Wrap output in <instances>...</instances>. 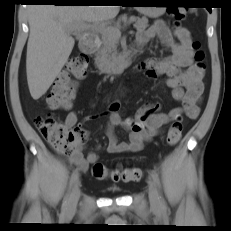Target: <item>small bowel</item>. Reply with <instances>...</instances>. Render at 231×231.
Segmentation results:
<instances>
[{"mask_svg":"<svg viewBox=\"0 0 231 231\" xmlns=\"http://www.w3.org/2000/svg\"><path fill=\"white\" fill-rule=\"evenodd\" d=\"M153 38H158L161 44L170 49L171 54L164 59H149L140 65L147 76L155 78L165 76L166 85L171 88L172 98L181 106L168 113L159 112L160 104H144L135 117L123 118L121 103L118 100L108 106L110 126L107 129V151L113 154L138 152L143 145L156 136L162 127L172 120L186 115L189 119H196L199 115V103L204 91V72L194 64L192 39L185 27L169 28L163 20H156L145 31L138 33L137 44L143 46ZM78 121L75 112H69L64 120L68 127H74ZM121 127L128 132V139L119 142L114 128ZM55 151L64 155L67 161L81 172H87L89 165L99 159L98 153L91 151L84 157L82 143L69 149L54 147Z\"/></svg>","mask_w":231,"mask_h":231,"instance_id":"obj_1","label":"small bowel"}]
</instances>
